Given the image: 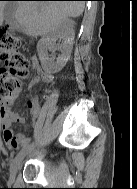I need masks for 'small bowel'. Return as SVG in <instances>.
I'll return each instance as SVG.
<instances>
[{"mask_svg": "<svg viewBox=\"0 0 137 189\" xmlns=\"http://www.w3.org/2000/svg\"><path fill=\"white\" fill-rule=\"evenodd\" d=\"M36 71V76L34 77V81H43L47 84L53 82V75L44 71L40 65H35L34 67ZM30 114L32 124L36 125L38 116L40 113V105L37 99L30 100L29 102ZM0 119L3 131V138L7 144V147L10 150L19 149L22 147L26 142H28V138L24 135V132H15L13 129V125L15 123H25V119L20 116L19 114L12 111L10 102H3L0 104Z\"/></svg>", "mask_w": 137, "mask_h": 189, "instance_id": "obj_1", "label": "small bowel"}]
</instances>
